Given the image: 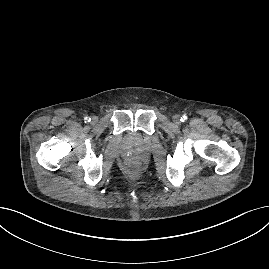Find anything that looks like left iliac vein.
Instances as JSON below:
<instances>
[{
  "mask_svg": "<svg viewBox=\"0 0 269 269\" xmlns=\"http://www.w3.org/2000/svg\"><path fill=\"white\" fill-rule=\"evenodd\" d=\"M173 121L175 124H180L181 123L180 116L179 115L173 116Z\"/></svg>",
  "mask_w": 269,
  "mask_h": 269,
  "instance_id": "obj_1",
  "label": "left iliac vein"
}]
</instances>
